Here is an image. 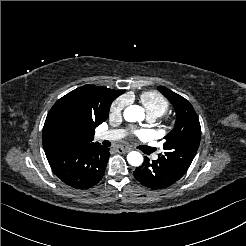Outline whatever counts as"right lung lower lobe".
Instances as JSON below:
<instances>
[{
	"mask_svg": "<svg viewBox=\"0 0 246 246\" xmlns=\"http://www.w3.org/2000/svg\"><path fill=\"white\" fill-rule=\"evenodd\" d=\"M44 150L54 173L78 189L92 187L102 179L110 156L109 149L98 142L57 144Z\"/></svg>",
	"mask_w": 246,
	"mask_h": 246,
	"instance_id": "98d812e1",
	"label": "right lung lower lobe"
}]
</instances>
